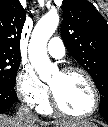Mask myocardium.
Returning <instances> with one entry per match:
<instances>
[{
	"instance_id": "1",
	"label": "myocardium",
	"mask_w": 108,
	"mask_h": 127,
	"mask_svg": "<svg viewBox=\"0 0 108 127\" xmlns=\"http://www.w3.org/2000/svg\"><path fill=\"white\" fill-rule=\"evenodd\" d=\"M60 73H62V74H70V73L81 74L85 78V80L87 81V83L91 89V92L93 95V103H92L90 110L86 113H83V114L69 113L62 108L53 88L49 85L50 105H51L52 109L61 115H64L67 117H72V118L82 119V118H87V117L92 116L96 112V110L99 106V102H100L99 91H98V88H97L96 83L94 82L92 76L85 69L76 67V66L64 67L63 69L60 70Z\"/></svg>"
}]
</instances>
